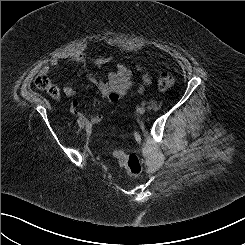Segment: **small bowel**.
Listing matches in <instances>:
<instances>
[{
	"mask_svg": "<svg viewBox=\"0 0 245 245\" xmlns=\"http://www.w3.org/2000/svg\"><path fill=\"white\" fill-rule=\"evenodd\" d=\"M108 60V57L90 59L85 54H80L75 58V62L82 67L79 73L82 74L91 84L97 88L102 97L110 102H115L120 98L125 97L130 88L134 85L133 74L124 63H117L116 69L111 72L105 80L98 78L87 69V64L89 63L100 66L108 62ZM57 66V60H52L49 64L50 68H56ZM47 69L48 67L44 68V71H47ZM137 70L142 71L141 68H138ZM150 83V76L147 73L142 72V82L137 85L138 92H144ZM63 92L67 97H74L76 94V90L70 85H65L63 87ZM54 98L59 99V95L54 96ZM71 112L77 116H80L81 118H84L90 125L99 123L103 118L102 114L100 113L85 117L78 110L76 101H72L71 103Z\"/></svg>",
	"mask_w": 245,
	"mask_h": 245,
	"instance_id": "small-bowel-1",
	"label": "small bowel"
}]
</instances>
